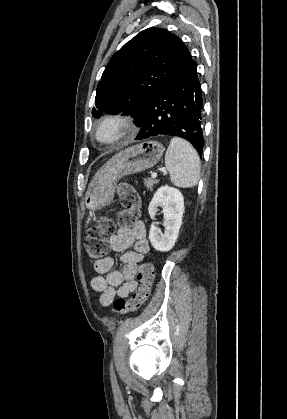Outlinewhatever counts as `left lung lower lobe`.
<instances>
[{"instance_id":"left-lung-lower-lobe-1","label":"left lung lower lobe","mask_w":287,"mask_h":419,"mask_svg":"<svg viewBox=\"0 0 287 419\" xmlns=\"http://www.w3.org/2000/svg\"><path fill=\"white\" fill-rule=\"evenodd\" d=\"M196 68L197 63H192L149 100L136 140L158 135L182 137L202 154L203 101Z\"/></svg>"}]
</instances>
